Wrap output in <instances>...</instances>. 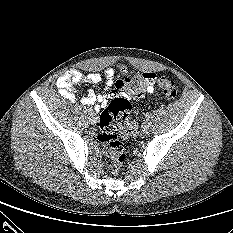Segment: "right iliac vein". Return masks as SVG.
I'll list each match as a JSON object with an SVG mask.
<instances>
[{
	"label": "right iliac vein",
	"instance_id": "obj_1",
	"mask_svg": "<svg viewBox=\"0 0 233 233\" xmlns=\"http://www.w3.org/2000/svg\"><path fill=\"white\" fill-rule=\"evenodd\" d=\"M97 116H96V114H92V115H90V122H91V124H96L97 123Z\"/></svg>",
	"mask_w": 233,
	"mask_h": 233
}]
</instances>
